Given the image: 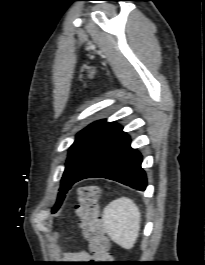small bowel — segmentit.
Wrapping results in <instances>:
<instances>
[{
	"instance_id": "obj_1",
	"label": "small bowel",
	"mask_w": 205,
	"mask_h": 265,
	"mask_svg": "<svg viewBox=\"0 0 205 265\" xmlns=\"http://www.w3.org/2000/svg\"><path fill=\"white\" fill-rule=\"evenodd\" d=\"M71 257L75 261H87L89 259V255L84 251L73 253Z\"/></svg>"
}]
</instances>
